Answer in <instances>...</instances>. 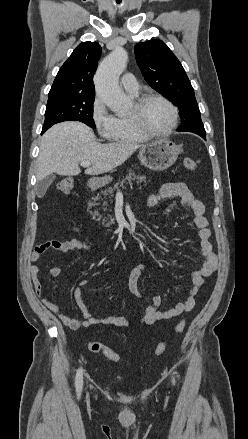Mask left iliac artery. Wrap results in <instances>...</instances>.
Returning a JSON list of instances; mask_svg holds the SVG:
<instances>
[{
	"label": "left iliac artery",
	"mask_w": 248,
	"mask_h": 439,
	"mask_svg": "<svg viewBox=\"0 0 248 439\" xmlns=\"http://www.w3.org/2000/svg\"><path fill=\"white\" fill-rule=\"evenodd\" d=\"M173 383L175 384V379L173 378Z\"/></svg>",
	"instance_id": "left-iliac-artery-1"
}]
</instances>
